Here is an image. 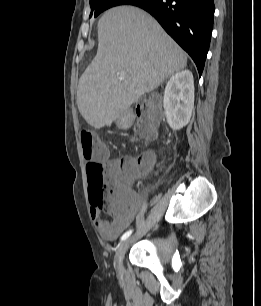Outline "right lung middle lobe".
Here are the masks:
<instances>
[{"instance_id":"right-lung-middle-lobe-1","label":"right lung middle lobe","mask_w":261,"mask_h":306,"mask_svg":"<svg viewBox=\"0 0 261 306\" xmlns=\"http://www.w3.org/2000/svg\"><path fill=\"white\" fill-rule=\"evenodd\" d=\"M136 0H90L91 14L94 13V16H98L101 12L109 9L111 7L122 5V4H131Z\"/></svg>"}]
</instances>
